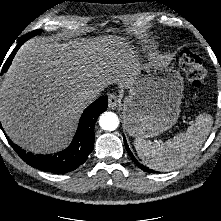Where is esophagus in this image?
I'll use <instances>...</instances> for the list:
<instances>
[{"label":"esophagus","instance_id":"34e87169","mask_svg":"<svg viewBox=\"0 0 221 221\" xmlns=\"http://www.w3.org/2000/svg\"><path fill=\"white\" fill-rule=\"evenodd\" d=\"M120 103L119 96L116 94H111L109 96V107L111 109H116L118 104Z\"/></svg>","mask_w":221,"mask_h":221}]
</instances>
